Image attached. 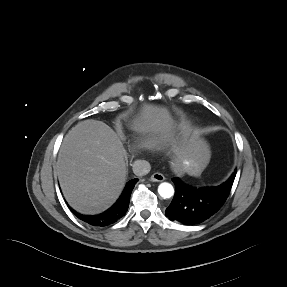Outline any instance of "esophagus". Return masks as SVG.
<instances>
[{
	"label": "esophagus",
	"mask_w": 287,
	"mask_h": 287,
	"mask_svg": "<svg viewBox=\"0 0 287 287\" xmlns=\"http://www.w3.org/2000/svg\"><path fill=\"white\" fill-rule=\"evenodd\" d=\"M165 180V177L163 174L161 173H154L152 176H151V181L153 182H162Z\"/></svg>",
	"instance_id": "esophagus-1"
}]
</instances>
